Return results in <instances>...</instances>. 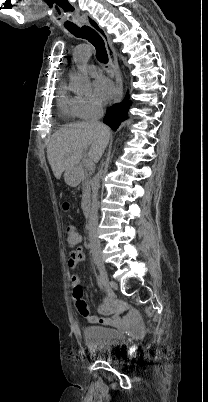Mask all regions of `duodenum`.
I'll list each match as a JSON object with an SVG mask.
<instances>
[{
  "label": "duodenum",
  "mask_w": 208,
  "mask_h": 402,
  "mask_svg": "<svg viewBox=\"0 0 208 402\" xmlns=\"http://www.w3.org/2000/svg\"><path fill=\"white\" fill-rule=\"evenodd\" d=\"M82 209L85 213H89L90 211V199L88 197H84L82 201Z\"/></svg>",
  "instance_id": "410a0bca"
}]
</instances>
